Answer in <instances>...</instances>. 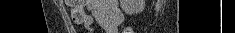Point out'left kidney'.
<instances>
[{"mask_svg": "<svg viewBox=\"0 0 235 33\" xmlns=\"http://www.w3.org/2000/svg\"><path fill=\"white\" fill-rule=\"evenodd\" d=\"M120 6L126 14H138L144 10L145 0H120Z\"/></svg>", "mask_w": 235, "mask_h": 33, "instance_id": "5707ae66", "label": "left kidney"}]
</instances>
